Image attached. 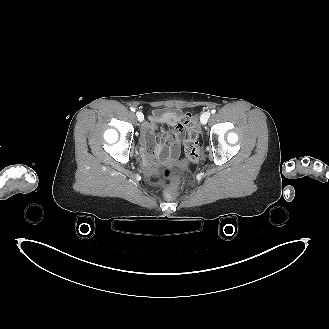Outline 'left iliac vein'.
Segmentation results:
<instances>
[{
	"instance_id": "4c4485c4",
	"label": "left iliac vein",
	"mask_w": 329,
	"mask_h": 329,
	"mask_svg": "<svg viewBox=\"0 0 329 329\" xmlns=\"http://www.w3.org/2000/svg\"><path fill=\"white\" fill-rule=\"evenodd\" d=\"M209 117H210V113L204 112L200 117L201 124L205 125L208 122Z\"/></svg>"
}]
</instances>
